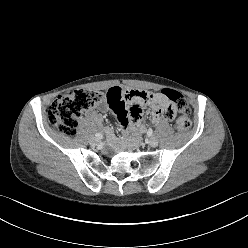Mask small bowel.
I'll return each instance as SVG.
<instances>
[{
	"label": "small bowel",
	"mask_w": 248,
	"mask_h": 248,
	"mask_svg": "<svg viewBox=\"0 0 248 248\" xmlns=\"http://www.w3.org/2000/svg\"><path fill=\"white\" fill-rule=\"evenodd\" d=\"M105 98L107 100L106 106L118 116L124 127L139 129L142 132L148 129L147 125L140 123L143 104L148 105L153 110L151 124L169 121L174 116V112L169 111L167 97L160 92L151 93L139 89H126L125 86L118 85L109 87L105 93ZM106 134L109 142L116 144L117 140L110 129H106Z\"/></svg>",
	"instance_id": "c3829d8e"
}]
</instances>
